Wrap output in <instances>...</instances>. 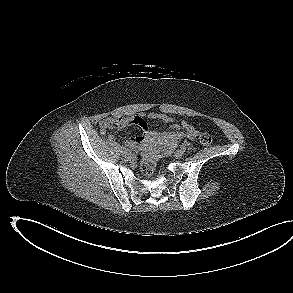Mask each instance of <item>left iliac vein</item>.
Wrapping results in <instances>:
<instances>
[{"label":"left iliac vein","mask_w":293,"mask_h":293,"mask_svg":"<svg viewBox=\"0 0 293 293\" xmlns=\"http://www.w3.org/2000/svg\"><path fill=\"white\" fill-rule=\"evenodd\" d=\"M184 152L181 150V149H178L176 152H175V157L177 159H180L182 156H183Z\"/></svg>","instance_id":"1"}]
</instances>
